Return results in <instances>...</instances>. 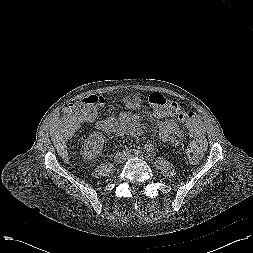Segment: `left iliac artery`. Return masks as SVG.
<instances>
[{
	"instance_id": "obj_1",
	"label": "left iliac artery",
	"mask_w": 253,
	"mask_h": 253,
	"mask_svg": "<svg viewBox=\"0 0 253 253\" xmlns=\"http://www.w3.org/2000/svg\"><path fill=\"white\" fill-rule=\"evenodd\" d=\"M134 153H135L136 155H138V156L142 155V151H141V150H135Z\"/></svg>"
}]
</instances>
